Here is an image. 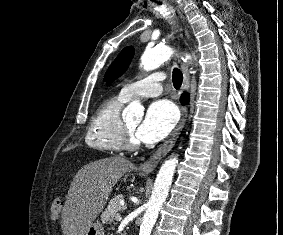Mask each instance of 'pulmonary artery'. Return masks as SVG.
Here are the masks:
<instances>
[{"mask_svg":"<svg viewBox=\"0 0 283 235\" xmlns=\"http://www.w3.org/2000/svg\"><path fill=\"white\" fill-rule=\"evenodd\" d=\"M163 73L156 72L131 84L125 85L121 90L124 99L130 100L135 97H154L162 93Z\"/></svg>","mask_w":283,"mask_h":235,"instance_id":"pulmonary-artery-1","label":"pulmonary artery"}]
</instances>
